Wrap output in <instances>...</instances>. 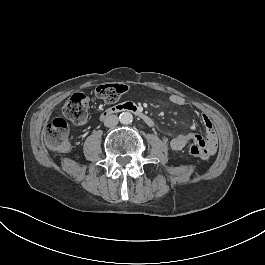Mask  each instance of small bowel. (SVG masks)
Segmentation results:
<instances>
[{"label":"small bowel","mask_w":265,"mask_h":265,"mask_svg":"<svg viewBox=\"0 0 265 265\" xmlns=\"http://www.w3.org/2000/svg\"><path fill=\"white\" fill-rule=\"evenodd\" d=\"M170 101L172 104L179 107H183L186 105L185 99L180 95H171ZM199 118L203 125L204 134L206 138L203 137V135L200 133L178 134L170 141V147L174 151H180L184 149L190 143L191 140L195 139V141L198 142L201 147L203 158L208 159L216 151V135L211 118L206 114H201Z\"/></svg>","instance_id":"c3829d8e"}]
</instances>
